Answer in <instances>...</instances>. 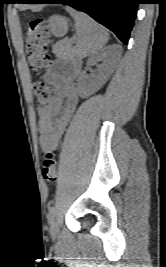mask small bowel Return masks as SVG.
Listing matches in <instances>:
<instances>
[{"label":"small bowel","instance_id":"small-bowel-1","mask_svg":"<svg viewBox=\"0 0 166 267\" xmlns=\"http://www.w3.org/2000/svg\"><path fill=\"white\" fill-rule=\"evenodd\" d=\"M78 68L60 60L53 61L45 79L53 84L57 97L47 107L38 110L40 146L44 151L53 150L64 133L78 103L74 80Z\"/></svg>","mask_w":166,"mask_h":267}]
</instances>
